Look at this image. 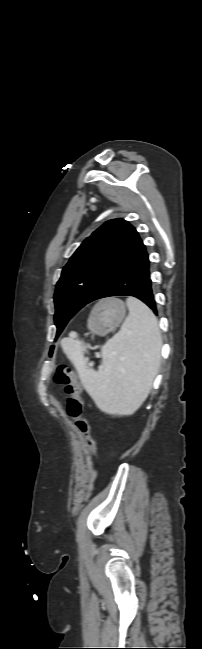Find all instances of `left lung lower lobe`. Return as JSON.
<instances>
[{
  "label": "left lung lower lobe",
  "mask_w": 202,
  "mask_h": 649,
  "mask_svg": "<svg viewBox=\"0 0 202 649\" xmlns=\"http://www.w3.org/2000/svg\"><path fill=\"white\" fill-rule=\"evenodd\" d=\"M150 268L146 247L138 237L100 285L92 301L110 296H134L146 303L157 314L156 302L152 293ZM52 350L53 347H51L50 353Z\"/></svg>",
  "instance_id": "0a47b994"
}]
</instances>
